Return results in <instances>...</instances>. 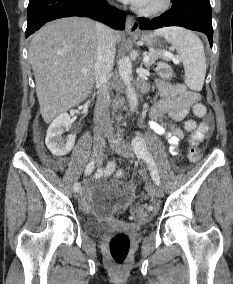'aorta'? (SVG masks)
I'll use <instances>...</instances> for the list:
<instances>
[{"label":"aorta","mask_w":233,"mask_h":284,"mask_svg":"<svg viewBox=\"0 0 233 284\" xmlns=\"http://www.w3.org/2000/svg\"><path fill=\"white\" fill-rule=\"evenodd\" d=\"M118 72L121 80L126 86V94L129 100L130 111L134 112L138 107V97L132 86V61L130 57H123L119 63Z\"/></svg>","instance_id":"obj_1"}]
</instances>
